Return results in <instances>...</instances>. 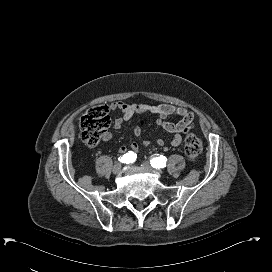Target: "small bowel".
Instances as JSON below:
<instances>
[{
    "label": "small bowel",
    "instance_id": "c3829d8e",
    "mask_svg": "<svg viewBox=\"0 0 272 272\" xmlns=\"http://www.w3.org/2000/svg\"><path fill=\"white\" fill-rule=\"evenodd\" d=\"M110 109L112 111H118L122 115L114 120L113 126L115 129H120L124 121L129 120L135 114L156 115V123L166 131L173 133V138L170 142L172 146H178L181 143L182 134L187 133L190 130L194 118L193 113L186 108L176 107L169 104L147 105L142 103L128 104L124 102H113L110 105ZM169 116H179L181 117V120L177 123H172L166 120ZM133 133L135 136H139L141 134V127H134ZM111 138L112 134L110 131H105L102 135V140L104 142L111 140ZM153 143L159 147L165 148V142L160 138L156 139ZM151 144L152 142L149 140H144L142 142L144 147ZM138 150L139 144L136 142H133L128 146L122 145L119 147V152L122 154L127 151L137 153Z\"/></svg>",
    "mask_w": 272,
    "mask_h": 272
}]
</instances>
